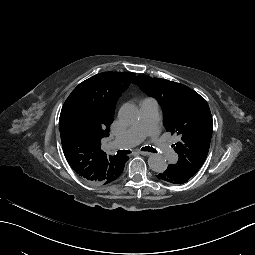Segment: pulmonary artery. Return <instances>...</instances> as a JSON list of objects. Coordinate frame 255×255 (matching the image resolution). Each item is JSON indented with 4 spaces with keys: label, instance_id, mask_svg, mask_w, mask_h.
Wrapping results in <instances>:
<instances>
[{
    "label": "pulmonary artery",
    "instance_id": "e3ab8cb5",
    "mask_svg": "<svg viewBox=\"0 0 255 255\" xmlns=\"http://www.w3.org/2000/svg\"><path fill=\"white\" fill-rule=\"evenodd\" d=\"M141 118L137 125L129 128L122 135L109 143V151L124 150L138 145L144 137H150L159 152L165 153L170 162L178 159L172 144H166V140L157 132L161 128V122L156 120L159 113L158 102L144 99L140 104Z\"/></svg>",
    "mask_w": 255,
    "mask_h": 255
}]
</instances>
